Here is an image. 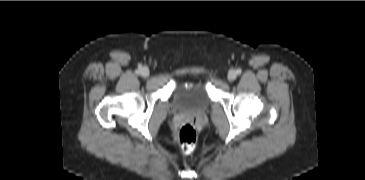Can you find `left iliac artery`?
I'll return each instance as SVG.
<instances>
[{
    "instance_id": "44dca946",
    "label": "left iliac artery",
    "mask_w": 365,
    "mask_h": 180,
    "mask_svg": "<svg viewBox=\"0 0 365 180\" xmlns=\"http://www.w3.org/2000/svg\"><path fill=\"white\" fill-rule=\"evenodd\" d=\"M236 72H237V74H241L242 71H241V69H237Z\"/></svg>"
}]
</instances>
